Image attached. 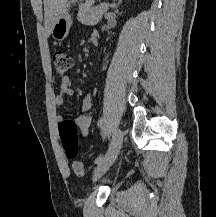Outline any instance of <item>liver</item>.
<instances>
[{
  "label": "liver",
  "instance_id": "1",
  "mask_svg": "<svg viewBox=\"0 0 216 217\" xmlns=\"http://www.w3.org/2000/svg\"><path fill=\"white\" fill-rule=\"evenodd\" d=\"M43 2H44L45 28L49 35L52 31L54 22L61 14L68 0H44Z\"/></svg>",
  "mask_w": 216,
  "mask_h": 217
}]
</instances>
